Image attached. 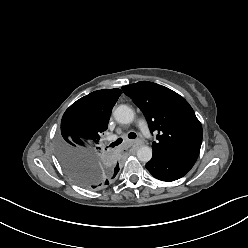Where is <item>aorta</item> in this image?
Segmentation results:
<instances>
[{
  "mask_svg": "<svg viewBox=\"0 0 248 248\" xmlns=\"http://www.w3.org/2000/svg\"><path fill=\"white\" fill-rule=\"evenodd\" d=\"M114 117L121 124H130L133 122L134 111L127 105H119L114 111ZM137 158L141 162H148L152 158V149L149 146H142L137 151Z\"/></svg>",
  "mask_w": 248,
  "mask_h": 248,
  "instance_id": "obj_1",
  "label": "aorta"
}]
</instances>
